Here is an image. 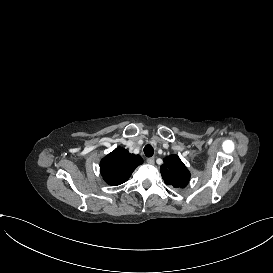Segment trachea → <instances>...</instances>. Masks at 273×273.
I'll use <instances>...</instances> for the list:
<instances>
[{"mask_svg":"<svg viewBox=\"0 0 273 273\" xmlns=\"http://www.w3.org/2000/svg\"><path fill=\"white\" fill-rule=\"evenodd\" d=\"M144 153L146 157H151L154 154V150L151 145H146L144 147Z\"/></svg>","mask_w":273,"mask_h":273,"instance_id":"obj_1","label":"trachea"}]
</instances>
